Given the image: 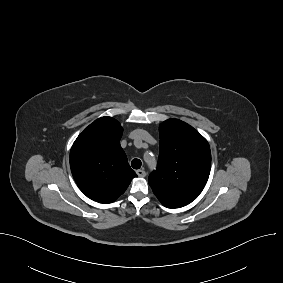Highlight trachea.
I'll list each match as a JSON object with an SVG mask.
<instances>
[{
  "instance_id": "obj_1",
  "label": "trachea",
  "mask_w": 283,
  "mask_h": 283,
  "mask_svg": "<svg viewBox=\"0 0 283 283\" xmlns=\"http://www.w3.org/2000/svg\"><path fill=\"white\" fill-rule=\"evenodd\" d=\"M141 165H142V163H141V160H139V159H133L132 162H131V166L134 169H139L141 167Z\"/></svg>"
}]
</instances>
